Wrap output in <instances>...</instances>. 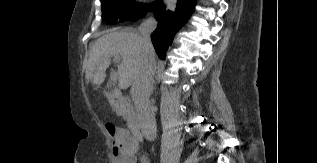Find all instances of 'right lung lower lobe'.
Listing matches in <instances>:
<instances>
[{
    "label": "right lung lower lobe",
    "mask_w": 317,
    "mask_h": 163,
    "mask_svg": "<svg viewBox=\"0 0 317 163\" xmlns=\"http://www.w3.org/2000/svg\"><path fill=\"white\" fill-rule=\"evenodd\" d=\"M195 5V0H178L174 12L167 10L164 3L160 0L155 5L154 13L158 26L153 32L151 39L161 59H165L168 46L171 45L176 32L189 19Z\"/></svg>",
    "instance_id": "98d812e1"
}]
</instances>
